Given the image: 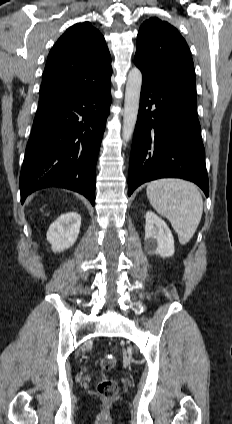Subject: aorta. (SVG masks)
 I'll return each mask as SVG.
<instances>
[{
  "label": "aorta",
  "mask_w": 232,
  "mask_h": 424,
  "mask_svg": "<svg viewBox=\"0 0 232 424\" xmlns=\"http://www.w3.org/2000/svg\"><path fill=\"white\" fill-rule=\"evenodd\" d=\"M142 74L138 68H132L128 74L125 91L122 137L128 142L135 129L140 103Z\"/></svg>",
  "instance_id": "1"
}]
</instances>
